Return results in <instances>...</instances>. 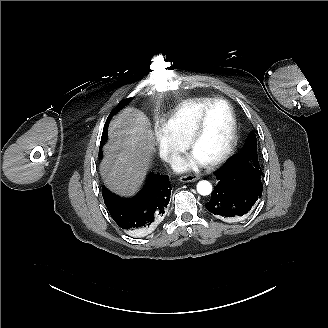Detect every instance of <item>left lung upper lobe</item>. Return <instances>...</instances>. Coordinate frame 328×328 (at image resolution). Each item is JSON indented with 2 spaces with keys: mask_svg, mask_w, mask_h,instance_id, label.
Returning <instances> with one entry per match:
<instances>
[{
  "mask_svg": "<svg viewBox=\"0 0 328 328\" xmlns=\"http://www.w3.org/2000/svg\"><path fill=\"white\" fill-rule=\"evenodd\" d=\"M228 163H237L241 166H246L261 177L262 170L260 168L257 156V140L255 133H251L239 155H235Z\"/></svg>",
  "mask_w": 328,
  "mask_h": 328,
  "instance_id": "obj_1",
  "label": "left lung upper lobe"
}]
</instances>
